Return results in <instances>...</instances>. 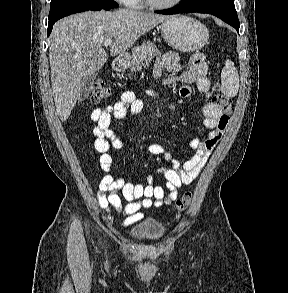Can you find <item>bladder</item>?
<instances>
[{
  "mask_svg": "<svg viewBox=\"0 0 288 293\" xmlns=\"http://www.w3.org/2000/svg\"><path fill=\"white\" fill-rule=\"evenodd\" d=\"M130 234L137 240L155 241L163 236L164 227L156 220H148L134 226Z\"/></svg>",
  "mask_w": 288,
  "mask_h": 293,
  "instance_id": "obj_1",
  "label": "bladder"
}]
</instances>
